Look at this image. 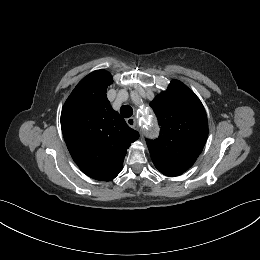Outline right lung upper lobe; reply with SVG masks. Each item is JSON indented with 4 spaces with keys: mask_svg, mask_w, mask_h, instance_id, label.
<instances>
[{
    "mask_svg": "<svg viewBox=\"0 0 260 260\" xmlns=\"http://www.w3.org/2000/svg\"><path fill=\"white\" fill-rule=\"evenodd\" d=\"M113 79L106 70L84 77L66 100L61 128L67 148L83 173L110 181L122 170L127 149L139 137L107 99Z\"/></svg>",
    "mask_w": 260,
    "mask_h": 260,
    "instance_id": "cb5924a9",
    "label": "right lung upper lobe"
}]
</instances>
